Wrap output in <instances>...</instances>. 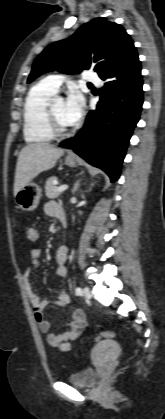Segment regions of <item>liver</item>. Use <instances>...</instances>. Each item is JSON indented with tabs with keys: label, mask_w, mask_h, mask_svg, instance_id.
I'll use <instances>...</instances> for the list:
<instances>
[{
	"label": "liver",
	"mask_w": 165,
	"mask_h": 419,
	"mask_svg": "<svg viewBox=\"0 0 165 419\" xmlns=\"http://www.w3.org/2000/svg\"><path fill=\"white\" fill-rule=\"evenodd\" d=\"M64 149L49 143H34L25 146L19 153L14 182V196L41 172L56 165Z\"/></svg>",
	"instance_id": "liver-1"
}]
</instances>
